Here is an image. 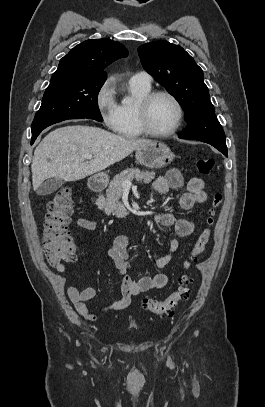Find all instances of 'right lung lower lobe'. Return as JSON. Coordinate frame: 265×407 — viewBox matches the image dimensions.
I'll list each match as a JSON object with an SVG mask.
<instances>
[{"label":"right lung lower lobe","instance_id":"obj_1","mask_svg":"<svg viewBox=\"0 0 265 407\" xmlns=\"http://www.w3.org/2000/svg\"><path fill=\"white\" fill-rule=\"evenodd\" d=\"M36 137H32L31 139V143H33L35 141Z\"/></svg>","mask_w":265,"mask_h":407}]
</instances>
